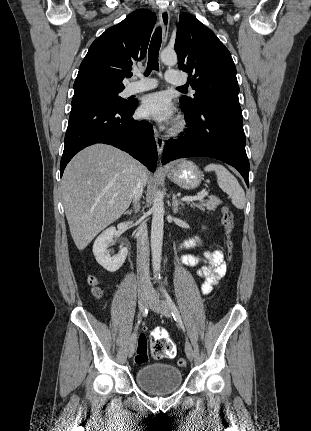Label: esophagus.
<instances>
[{"label":"esophagus","mask_w":311,"mask_h":431,"mask_svg":"<svg viewBox=\"0 0 311 431\" xmlns=\"http://www.w3.org/2000/svg\"><path fill=\"white\" fill-rule=\"evenodd\" d=\"M159 19H160V24L162 26V41H163V44H165L167 42L168 33H169V23H170L169 11L165 8L161 9L159 11ZM154 137L157 145V152H158V155L160 156L163 151L165 140L156 128H154Z\"/></svg>","instance_id":"34e87169"}]
</instances>
